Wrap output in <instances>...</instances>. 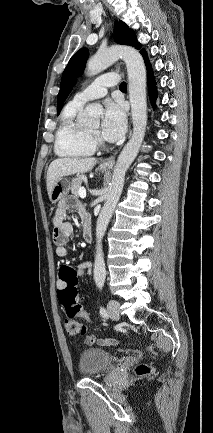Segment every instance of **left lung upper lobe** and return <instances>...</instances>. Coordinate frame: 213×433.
I'll return each mask as SVG.
<instances>
[{
    "label": "left lung upper lobe",
    "instance_id": "5c2ea615",
    "mask_svg": "<svg viewBox=\"0 0 213 433\" xmlns=\"http://www.w3.org/2000/svg\"><path fill=\"white\" fill-rule=\"evenodd\" d=\"M114 40L119 44L130 45L136 49H140L141 45L137 41L134 32L123 22L116 21L114 24ZM146 51L142 49L141 54ZM89 56V50L87 48H82L78 50L70 59L68 65L66 66L60 85V91L57 96V113L59 114L63 105V102L70 94L76 78L80 73L83 72L86 61Z\"/></svg>",
    "mask_w": 213,
    "mask_h": 433
}]
</instances>
